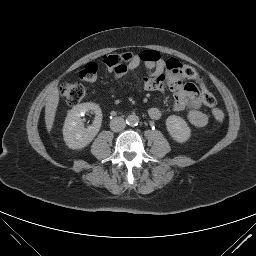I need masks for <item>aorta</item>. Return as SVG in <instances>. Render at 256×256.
<instances>
[{
    "instance_id": "aorta-1",
    "label": "aorta",
    "mask_w": 256,
    "mask_h": 256,
    "mask_svg": "<svg viewBox=\"0 0 256 256\" xmlns=\"http://www.w3.org/2000/svg\"><path fill=\"white\" fill-rule=\"evenodd\" d=\"M126 123L130 126H136L139 123V118L135 114L129 115L126 118Z\"/></svg>"
}]
</instances>
